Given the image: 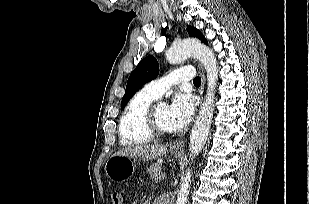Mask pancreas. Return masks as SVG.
<instances>
[{"label":"pancreas","mask_w":309,"mask_h":204,"mask_svg":"<svg viewBox=\"0 0 309 204\" xmlns=\"http://www.w3.org/2000/svg\"><path fill=\"white\" fill-rule=\"evenodd\" d=\"M147 171H148L149 176L152 179L160 180L162 178V174H163L162 167L158 163L150 165Z\"/></svg>","instance_id":"cf45deb5"}]
</instances>
